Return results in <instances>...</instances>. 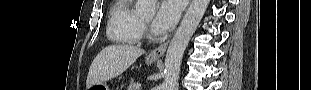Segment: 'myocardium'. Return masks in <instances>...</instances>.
<instances>
[{
    "mask_svg": "<svg viewBox=\"0 0 311 90\" xmlns=\"http://www.w3.org/2000/svg\"><path fill=\"white\" fill-rule=\"evenodd\" d=\"M144 25H146V22H143ZM149 37H151V35L149 34Z\"/></svg>",
    "mask_w": 311,
    "mask_h": 90,
    "instance_id": "1",
    "label": "myocardium"
}]
</instances>
